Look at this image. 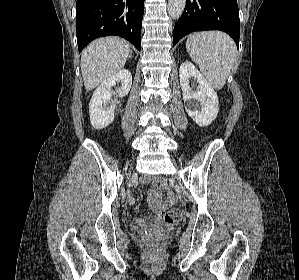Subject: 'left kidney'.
<instances>
[{
	"label": "left kidney",
	"instance_id": "5707ae66",
	"mask_svg": "<svg viewBox=\"0 0 299 280\" xmlns=\"http://www.w3.org/2000/svg\"><path fill=\"white\" fill-rule=\"evenodd\" d=\"M180 86L183 92V100L188 115L201 127L212 123L218 114V96L205 77L190 62L185 61L180 66ZM197 79L198 90L193 92L189 85V79ZM196 102L201 105V111L196 108Z\"/></svg>",
	"mask_w": 299,
	"mask_h": 280
}]
</instances>
